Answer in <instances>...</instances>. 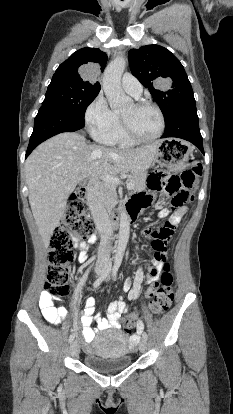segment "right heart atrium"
Masks as SVG:
<instances>
[{
    "label": "right heart atrium",
    "instance_id": "obj_1",
    "mask_svg": "<svg viewBox=\"0 0 233 414\" xmlns=\"http://www.w3.org/2000/svg\"><path fill=\"white\" fill-rule=\"evenodd\" d=\"M84 120L94 139L101 143H109L116 114L110 109L102 93H99L86 107Z\"/></svg>",
    "mask_w": 233,
    "mask_h": 414
}]
</instances>
